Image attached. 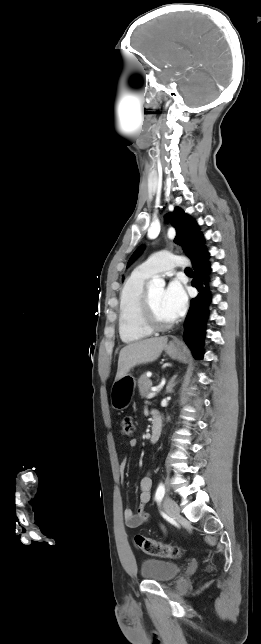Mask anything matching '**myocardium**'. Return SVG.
I'll use <instances>...</instances> for the list:
<instances>
[{
  "label": "myocardium",
  "mask_w": 261,
  "mask_h": 644,
  "mask_svg": "<svg viewBox=\"0 0 261 644\" xmlns=\"http://www.w3.org/2000/svg\"><path fill=\"white\" fill-rule=\"evenodd\" d=\"M140 314L142 323L151 332L164 331L170 329L174 325L173 320L170 322H160L159 320H157L153 311V306L148 289H145L142 295Z\"/></svg>",
  "instance_id": "1"
}]
</instances>
